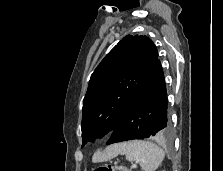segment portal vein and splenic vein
<instances>
[{
  "mask_svg": "<svg viewBox=\"0 0 223 171\" xmlns=\"http://www.w3.org/2000/svg\"><path fill=\"white\" fill-rule=\"evenodd\" d=\"M133 166H134V167H136V166H137V164H134Z\"/></svg>",
  "mask_w": 223,
  "mask_h": 171,
  "instance_id": "18ae733b",
  "label": "portal vein and splenic vein"
}]
</instances>
